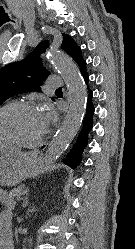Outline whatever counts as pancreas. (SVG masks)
<instances>
[{
	"instance_id": "1",
	"label": "pancreas",
	"mask_w": 135,
	"mask_h": 249,
	"mask_svg": "<svg viewBox=\"0 0 135 249\" xmlns=\"http://www.w3.org/2000/svg\"><path fill=\"white\" fill-rule=\"evenodd\" d=\"M24 194V191L22 190V188H14L12 189L9 193H8V198L10 200H12L13 198H20V196Z\"/></svg>"
}]
</instances>
